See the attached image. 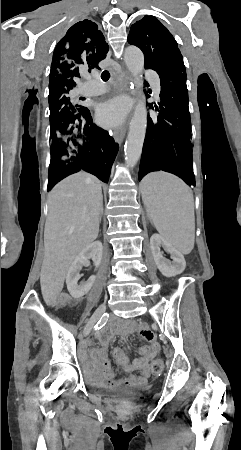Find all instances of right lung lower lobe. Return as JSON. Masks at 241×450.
Segmentation results:
<instances>
[{"mask_svg": "<svg viewBox=\"0 0 241 450\" xmlns=\"http://www.w3.org/2000/svg\"><path fill=\"white\" fill-rule=\"evenodd\" d=\"M59 128L73 141L72 151L51 152L48 191L63 178L80 170L107 183L118 144L107 131L96 127L90 112L75 121H64Z\"/></svg>", "mask_w": 241, "mask_h": 450, "instance_id": "98d812e1", "label": "right lung lower lobe"}]
</instances>
